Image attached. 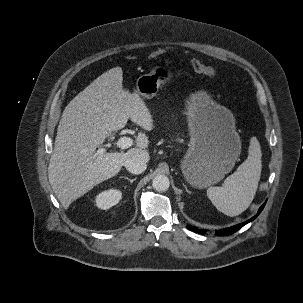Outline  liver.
<instances>
[{
	"instance_id": "6515ba94",
	"label": "liver",
	"mask_w": 303,
	"mask_h": 303,
	"mask_svg": "<svg viewBox=\"0 0 303 303\" xmlns=\"http://www.w3.org/2000/svg\"><path fill=\"white\" fill-rule=\"evenodd\" d=\"M121 67L112 68L81 91L65 107L48 166L50 185L67 209L99 183L117 175L125 161L141 157L149 161L148 137L140 132L136 147L127 152H104L97 148L128 119L144 130L153 129L152 115L140 98L122 86Z\"/></svg>"
}]
</instances>
